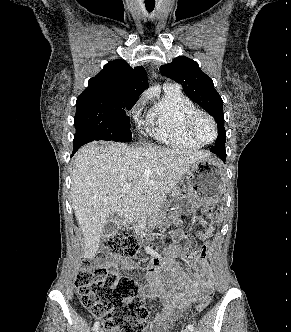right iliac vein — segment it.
Listing matches in <instances>:
<instances>
[{
  "instance_id": "obj_1",
  "label": "right iliac vein",
  "mask_w": 291,
  "mask_h": 332,
  "mask_svg": "<svg viewBox=\"0 0 291 332\" xmlns=\"http://www.w3.org/2000/svg\"><path fill=\"white\" fill-rule=\"evenodd\" d=\"M97 332H103V330H102V329H99Z\"/></svg>"
}]
</instances>
